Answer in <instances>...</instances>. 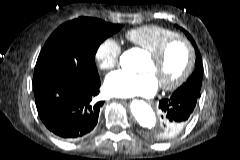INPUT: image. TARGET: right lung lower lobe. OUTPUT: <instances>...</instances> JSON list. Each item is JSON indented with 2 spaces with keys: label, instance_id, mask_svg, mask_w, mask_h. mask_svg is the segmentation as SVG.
<instances>
[{
  "label": "right lung lower lobe",
  "instance_id": "1",
  "mask_svg": "<svg viewBox=\"0 0 240 160\" xmlns=\"http://www.w3.org/2000/svg\"><path fill=\"white\" fill-rule=\"evenodd\" d=\"M100 78L88 83L50 77L34 85L38 114L44 125L55 135L80 139L97 124L103 101L94 102L99 94Z\"/></svg>",
  "mask_w": 240,
  "mask_h": 160
}]
</instances>
